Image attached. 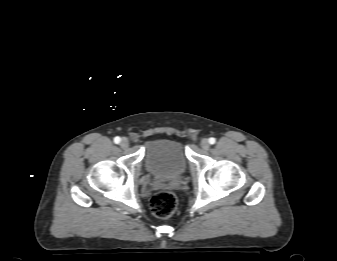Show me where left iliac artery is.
<instances>
[{
    "instance_id": "obj_1",
    "label": "left iliac artery",
    "mask_w": 337,
    "mask_h": 261,
    "mask_svg": "<svg viewBox=\"0 0 337 261\" xmlns=\"http://www.w3.org/2000/svg\"><path fill=\"white\" fill-rule=\"evenodd\" d=\"M215 142H216L215 138H213V137L209 138V143L210 144H215Z\"/></svg>"
}]
</instances>
